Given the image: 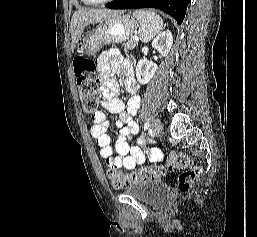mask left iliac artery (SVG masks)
Wrapping results in <instances>:
<instances>
[{
  "mask_svg": "<svg viewBox=\"0 0 257 237\" xmlns=\"http://www.w3.org/2000/svg\"><path fill=\"white\" fill-rule=\"evenodd\" d=\"M149 126H150L149 122H146V123L144 124V130H147V129L149 128Z\"/></svg>",
  "mask_w": 257,
  "mask_h": 237,
  "instance_id": "obj_1",
  "label": "left iliac artery"
}]
</instances>
